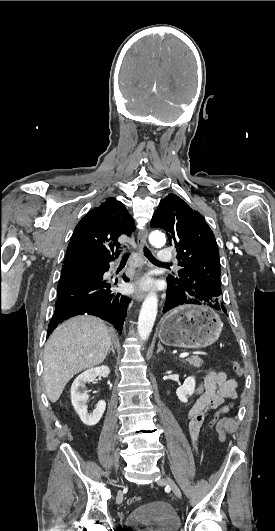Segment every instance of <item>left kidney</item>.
Masks as SVG:
<instances>
[{
  "instance_id": "obj_1",
  "label": "left kidney",
  "mask_w": 275,
  "mask_h": 531,
  "mask_svg": "<svg viewBox=\"0 0 275 531\" xmlns=\"http://www.w3.org/2000/svg\"><path fill=\"white\" fill-rule=\"evenodd\" d=\"M195 385L196 383L194 377H187L183 385L178 387L176 391L179 401H182V403H187L188 397H191V395L194 393Z\"/></svg>"
}]
</instances>
